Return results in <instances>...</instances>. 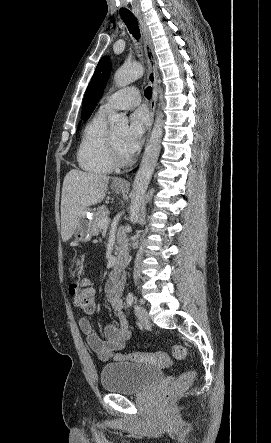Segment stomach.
Listing matches in <instances>:
<instances>
[{"label":"stomach","mask_w":271,"mask_h":443,"mask_svg":"<svg viewBox=\"0 0 271 443\" xmlns=\"http://www.w3.org/2000/svg\"><path fill=\"white\" fill-rule=\"evenodd\" d=\"M116 180H119V178H116ZM115 182V180H114ZM111 188L115 194H120L122 190H125L123 186H112ZM90 220H93L92 218V212H85L84 216L80 218L79 222L76 225V229L73 233L75 239L77 241H89L93 235V225L90 223Z\"/></svg>","instance_id":"1"}]
</instances>
